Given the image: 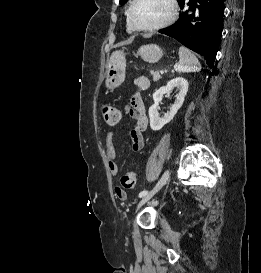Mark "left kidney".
Segmentation results:
<instances>
[{
    "label": "left kidney",
    "mask_w": 261,
    "mask_h": 273,
    "mask_svg": "<svg viewBox=\"0 0 261 273\" xmlns=\"http://www.w3.org/2000/svg\"><path fill=\"white\" fill-rule=\"evenodd\" d=\"M188 81L182 77H176L169 81L166 86L160 87L153 94L154 104L149 108V118H150V127L154 131L161 130L164 125L169 123L181 108L184 98L188 91ZM174 88L179 90L174 104L171 106L170 110L164 115V117H159L158 114V105L161 102L163 95L170 93Z\"/></svg>",
    "instance_id": "obj_1"
}]
</instances>
